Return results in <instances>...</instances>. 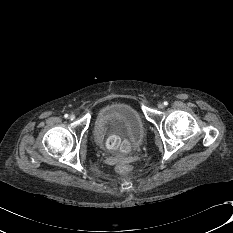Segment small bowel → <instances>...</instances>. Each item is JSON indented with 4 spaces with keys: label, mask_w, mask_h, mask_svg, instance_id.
Masks as SVG:
<instances>
[{
    "label": "small bowel",
    "mask_w": 233,
    "mask_h": 233,
    "mask_svg": "<svg viewBox=\"0 0 233 233\" xmlns=\"http://www.w3.org/2000/svg\"><path fill=\"white\" fill-rule=\"evenodd\" d=\"M98 142L101 148L118 150L119 154L125 157L131 155L134 149L132 141L119 133L115 135L110 133L103 134Z\"/></svg>",
    "instance_id": "obj_1"
}]
</instances>
